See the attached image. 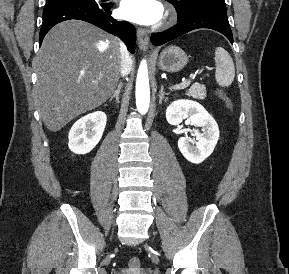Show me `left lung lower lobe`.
<instances>
[{
  "mask_svg": "<svg viewBox=\"0 0 289 274\" xmlns=\"http://www.w3.org/2000/svg\"><path fill=\"white\" fill-rule=\"evenodd\" d=\"M199 28H209L225 35L233 44V35L226 12L221 11H202L191 17L178 21V23L161 33L151 35V42L155 46L162 45L178 36Z\"/></svg>",
  "mask_w": 289,
  "mask_h": 274,
  "instance_id": "0a47b994",
  "label": "left lung lower lobe"
}]
</instances>
